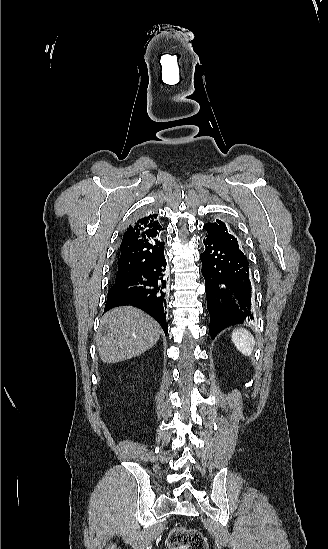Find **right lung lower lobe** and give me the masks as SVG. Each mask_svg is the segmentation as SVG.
<instances>
[{
	"label": "right lung lower lobe",
	"instance_id": "obj_1",
	"mask_svg": "<svg viewBox=\"0 0 328 549\" xmlns=\"http://www.w3.org/2000/svg\"><path fill=\"white\" fill-rule=\"evenodd\" d=\"M166 285V260L163 251L140 271L112 285L108 292L105 311L118 306L132 305L151 315L160 323L167 335Z\"/></svg>",
	"mask_w": 328,
	"mask_h": 549
}]
</instances>
